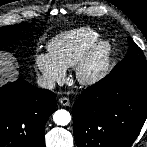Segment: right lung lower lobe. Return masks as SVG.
<instances>
[{"label": "right lung lower lobe", "mask_w": 147, "mask_h": 147, "mask_svg": "<svg viewBox=\"0 0 147 147\" xmlns=\"http://www.w3.org/2000/svg\"><path fill=\"white\" fill-rule=\"evenodd\" d=\"M55 94L25 80L0 88V147H43Z\"/></svg>", "instance_id": "right-lung-lower-lobe-1"}]
</instances>
